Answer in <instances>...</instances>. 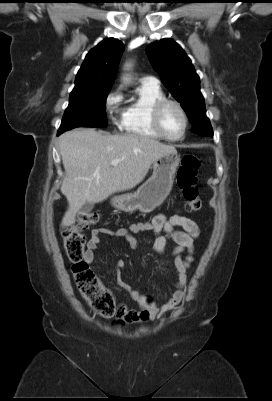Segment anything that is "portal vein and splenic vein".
<instances>
[{
    "instance_id": "obj_1",
    "label": "portal vein and splenic vein",
    "mask_w": 272,
    "mask_h": 401,
    "mask_svg": "<svg viewBox=\"0 0 272 401\" xmlns=\"http://www.w3.org/2000/svg\"><path fill=\"white\" fill-rule=\"evenodd\" d=\"M120 160L119 159H115L111 162V165L113 166H117L119 164Z\"/></svg>"
}]
</instances>
